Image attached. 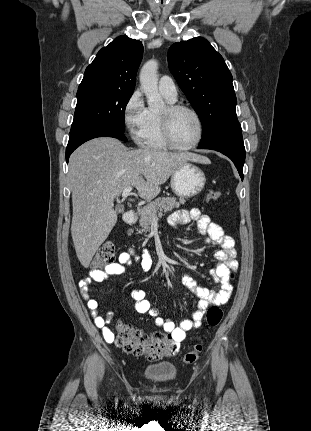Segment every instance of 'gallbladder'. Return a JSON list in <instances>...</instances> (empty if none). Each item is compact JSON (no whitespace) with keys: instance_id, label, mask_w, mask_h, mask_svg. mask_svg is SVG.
I'll use <instances>...</instances> for the list:
<instances>
[{"instance_id":"bac80fb5","label":"gallbladder","mask_w":311,"mask_h":431,"mask_svg":"<svg viewBox=\"0 0 311 431\" xmlns=\"http://www.w3.org/2000/svg\"><path fill=\"white\" fill-rule=\"evenodd\" d=\"M115 210L118 214H121V212H124L125 208L124 206H121V204H117V206H115Z\"/></svg>"}]
</instances>
